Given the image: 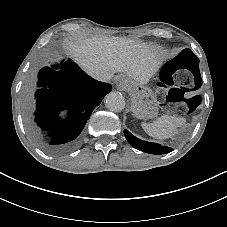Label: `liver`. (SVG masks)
Here are the masks:
<instances>
[{"label":"liver","mask_w":227,"mask_h":227,"mask_svg":"<svg viewBox=\"0 0 227 227\" xmlns=\"http://www.w3.org/2000/svg\"><path fill=\"white\" fill-rule=\"evenodd\" d=\"M64 48L92 77L125 72L139 84H146L163 61L152 44L122 37H79L69 40Z\"/></svg>","instance_id":"1"}]
</instances>
